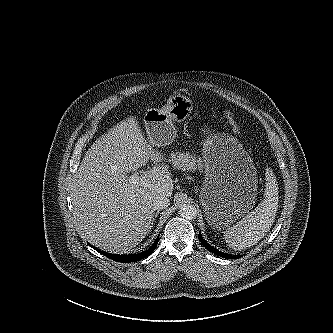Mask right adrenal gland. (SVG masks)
Instances as JSON below:
<instances>
[{
	"mask_svg": "<svg viewBox=\"0 0 333 333\" xmlns=\"http://www.w3.org/2000/svg\"><path fill=\"white\" fill-rule=\"evenodd\" d=\"M158 215H159V210L156 211V212L153 214L152 222H151V226H150V230L153 228V225H154L155 219L157 218Z\"/></svg>",
	"mask_w": 333,
	"mask_h": 333,
	"instance_id": "obj_1",
	"label": "right adrenal gland"
}]
</instances>
